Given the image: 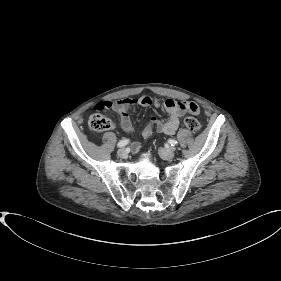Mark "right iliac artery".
Returning a JSON list of instances; mask_svg holds the SVG:
<instances>
[{
    "label": "right iliac artery",
    "mask_w": 281,
    "mask_h": 281,
    "mask_svg": "<svg viewBox=\"0 0 281 281\" xmlns=\"http://www.w3.org/2000/svg\"><path fill=\"white\" fill-rule=\"evenodd\" d=\"M129 143V139H123L121 141L118 142L117 146L118 147H124L125 145H127Z\"/></svg>",
    "instance_id": "1"
}]
</instances>
